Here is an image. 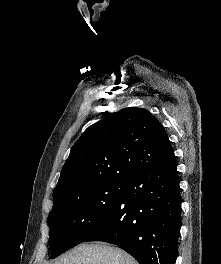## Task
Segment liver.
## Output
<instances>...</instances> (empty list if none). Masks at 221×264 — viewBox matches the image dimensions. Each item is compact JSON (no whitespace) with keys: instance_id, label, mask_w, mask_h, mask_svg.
<instances>
[{"instance_id":"liver-1","label":"liver","mask_w":221,"mask_h":264,"mask_svg":"<svg viewBox=\"0 0 221 264\" xmlns=\"http://www.w3.org/2000/svg\"><path fill=\"white\" fill-rule=\"evenodd\" d=\"M49 264H138L123 250L104 244H82Z\"/></svg>"}]
</instances>
